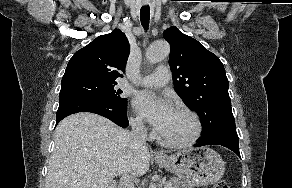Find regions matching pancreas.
Returning a JSON list of instances; mask_svg holds the SVG:
<instances>
[{"mask_svg": "<svg viewBox=\"0 0 292 188\" xmlns=\"http://www.w3.org/2000/svg\"><path fill=\"white\" fill-rule=\"evenodd\" d=\"M169 183L172 184V188H192L190 185L180 182L178 178L171 177Z\"/></svg>", "mask_w": 292, "mask_h": 188, "instance_id": "obj_1", "label": "pancreas"}]
</instances>
